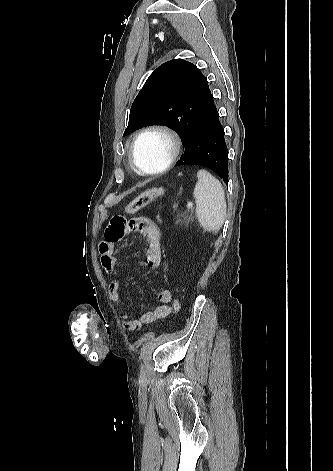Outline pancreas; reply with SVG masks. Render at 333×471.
<instances>
[{
	"label": "pancreas",
	"mask_w": 333,
	"mask_h": 471,
	"mask_svg": "<svg viewBox=\"0 0 333 471\" xmlns=\"http://www.w3.org/2000/svg\"><path fill=\"white\" fill-rule=\"evenodd\" d=\"M193 222V215L187 213L178 214L176 217V223H181L184 225H188L189 223Z\"/></svg>",
	"instance_id": "pancreas-1"
}]
</instances>
